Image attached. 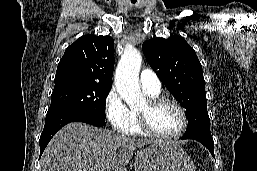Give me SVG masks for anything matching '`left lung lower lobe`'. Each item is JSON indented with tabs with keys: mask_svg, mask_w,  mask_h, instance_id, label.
Returning <instances> with one entry per match:
<instances>
[{
	"mask_svg": "<svg viewBox=\"0 0 257 171\" xmlns=\"http://www.w3.org/2000/svg\"><path fill=\"white\" fill-rule=\"evenodd\" d=\"M180 139H193L201 144H203L211 153V155L214 157V141L212 136H204V135H187L183 136Z\"/></svg>",
	"mask_w": 257,
	"mask_h": 171,
	"instance_id": "left-lung-lower-lobe-1",
	"label": "left lung lower lobe"
}]
</instances>
